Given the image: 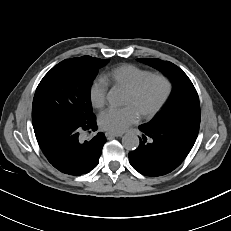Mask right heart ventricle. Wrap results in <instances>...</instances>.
Masks as SVG:
<instances>
[{
    "mask_svg": "<svg viewBox=\"0 0 231 231\" xmlns=\"http://www.w3.org/2000/svg\"><path fill=\"white\" fill-rule=\"evenodd\" d=\"M152 72L135 65L125 64L114 68L106 75V80L115 86H120L126 90L133 87L138 81Z\"/></svg>",
    "mask_w": 231,
    "mask_h": 231,
    "instance_id": "e07e8e85",
    "label": "right heart ventricle"
}]
</instances>
